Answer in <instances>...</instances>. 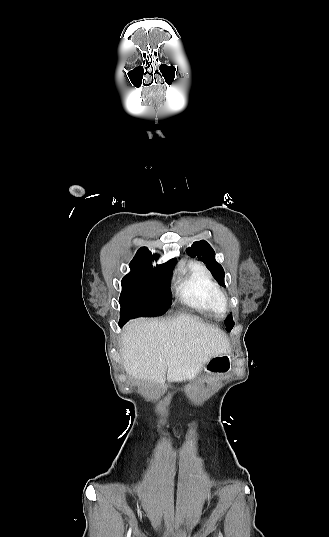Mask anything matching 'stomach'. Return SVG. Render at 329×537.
Wrapping results in <instances>:
<instances>
[{"label":"stomach","mask_w":329,"mask_h":537,"mask_svg":"<svg viewBox=\"0 0 329 537\" xmlns=\"http://www.w3.org/2000/svg\"><path fill=\"white\" fill-rule=\"evenodd\" d=\"M231 361H232V356L230 353L214 356L205 364L201 373L204 372L206 375L208 374L225 375L227 372L231 370ZM206 375L202 377H206Z\"/></svg>","instance_id":"obj_1"}]
</instances>
